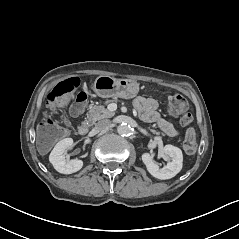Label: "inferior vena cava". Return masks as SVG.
Wrapping results in <instances>:
<instances>
[{"label": "inferior vena cava", "instance_id": "1", "mask_svg": "<svg viewBox=\"0 0 239 239\" xmlns=\"http://www.w3.org/2000/svg\"><path fill=\"white\" fill-rule=\"evenodd\" d=\"M110 125H111V121L109 119H103V120H100L95 125V128L99 131H102V130L109 128Z\"/></svg>", "mask_w": 239, "mask_h": 239}]
</instances>
